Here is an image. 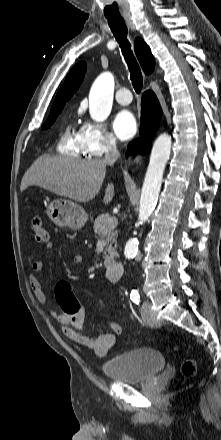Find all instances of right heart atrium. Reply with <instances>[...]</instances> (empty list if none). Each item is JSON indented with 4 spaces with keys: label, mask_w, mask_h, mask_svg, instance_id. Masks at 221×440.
<instances>
[{
    "label": "right heart atrium",
    "mask_w": 221,
    "mask_h": 440,
    "mask_svg": "<svg viewBox=\"0 0 221 440\" xmlns=\"http://www.w3.org/2000/svg\"><path fill=\"white\" fill-rule=\"evenodd\" d=\"M85 151L91 156H102L117 149V141L107 127L98 122L87 121L81 128Z\"/></svg>",
    "instance_id": "right-heart-atrium-1"
}]
</instances>
